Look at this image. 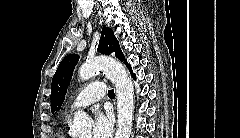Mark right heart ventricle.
Segmentation results:
<instances>
[{
	"label": "right heart ventricle",
	"instance_id": "right-heart-ventricle-1",
	"mask_svg": "<svg viewBox=\"0 0 240 138\" xmlns=\"http://www.w3.org/2000/svg\"><path fill=\"white\" fill-rule=\"evenodd\" d=\"M58 138H74V137L67 134L66 131L62 128L58 133Z\"/></svg>",
	"mask_w": 240,
	"mask_h": 138
}]
</instances>
